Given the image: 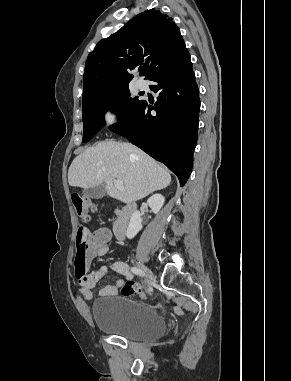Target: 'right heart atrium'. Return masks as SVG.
<instances>
[{
    "mask_svg": "<svg viewBox=\"0 0 291 381\" xmlns=\"http://www.w3.org/2000/svg\"><path fill=\"white\" fill-rule=\"evenodd\" d=\"M121 117V112L118 106L111 105L109 106L103 114L104 121L108 125L116 123Z\"/></svg>",
    "mask_w": 291,
    "mask_h": 381,
    "instance_id": "right-heart-atrium-1",
    "label": "right heart atrium"
}]
</instances>
